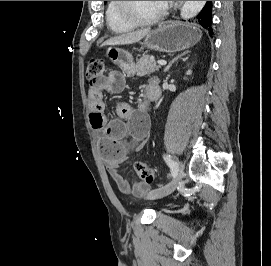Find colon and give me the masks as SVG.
<instances>
[{"instance_id":"obj_1","label":"colon","mask_w":271,"mask_h":266,"mask_svg":"<svg viewBox=\"0 0 271 266\" xmlns=\"http://www.w3.org/2000/svg\"><path fill=\"white\" fill-rule=\"evenodd\" d=\"M105 70L104 62L99 57H92L89 60L86 76L89 79L101 76ZM134 170L138 178L146 184H150L154 180L153 170L144 162H136L134 164Z\"/></svg>"}]
</instances>
